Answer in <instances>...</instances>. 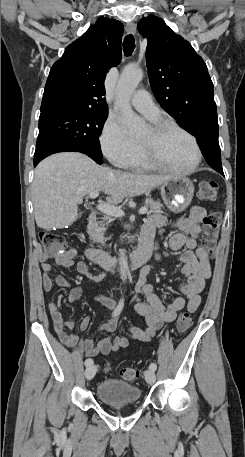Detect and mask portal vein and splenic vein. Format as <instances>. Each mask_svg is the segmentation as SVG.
Instances as JSON below:
<instances>
[{"instance_id": "portal-vein-and-splenic-vein-1", "label": "portal vein and splenic vein", "mask_w": 245, "mask_h": 457, "mask_svg": "<svg viewBox=\"0 0 245 457\" xmlns=\"http://www.w3.org/2000/svg\"><path fill=\"white\" fill-rule=\"evenodd\" d=\"M98 194V190L89 192L90 198H96ZM97 208L98 210H101V212H105V214H111V216H124L125 214L124 210H122L120 206H114V204H97ZM147 210V206H142V208H139L140 214H144V212H147Z\"/></svg>"}]
</instances>
